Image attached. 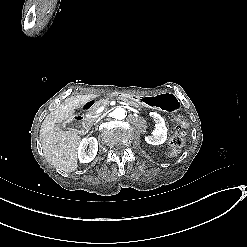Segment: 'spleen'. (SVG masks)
<instances>
[{"instance_id": "3e777b00", "label": "spleen", "mask_w": 247, "mask_h": 247, "mask_svg": "<svg viewBox=\"0 0 247 247\" xmlns=\"http://www.w3.org/2000/svg\"><path fill=\"white\" fill-rule=\"evenodd\" d=\"M183 149H184L183 144L174 146L169 151H167L165 158L166 159L176 158L182 152Z\"/></svg>"}]
</instances>
